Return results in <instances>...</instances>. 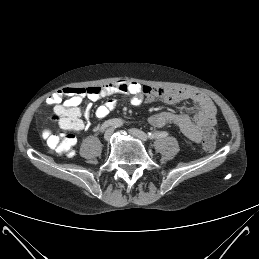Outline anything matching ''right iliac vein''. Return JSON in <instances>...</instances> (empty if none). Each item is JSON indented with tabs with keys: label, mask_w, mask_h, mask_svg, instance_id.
<instances>
[{
	"label": "right iliac vein",
	"mask_w": 259,
	"mask_h": 259,
	"mask_svg": "<svg viewBox=\"0 0 259 259\" xmlns=\"http://www.w3.org/2000/svg\"><path fill=\"white\" fill-rule=\"evenodd\" d=\"M113 133V129L112 128H108L105 132H104V139L105 140H109L111 138V135Z\"/></svg>",
	"instance_id": "1"
}]
</instances>
